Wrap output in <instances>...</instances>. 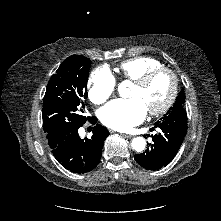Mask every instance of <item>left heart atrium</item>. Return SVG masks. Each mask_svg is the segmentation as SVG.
Instances as JSON below:
<instances>
[{
  "instance_id": "39dd6f15",
  "label": "left heart atrium",
  "mask_w": 221,
  "mask_h": 221,
  "mask_svg": "<svg viewBox=\"0 0 221 221\" xmlns=\"http://www.w3.org/2000/svg\"><path fill=\"white\" fill-rule=\"evenodd\" d=\"M147 108L139 98L114 100L99 111L101 122L114 130L128 131L141 123Z\"/></svg>"
}]
</instances>
